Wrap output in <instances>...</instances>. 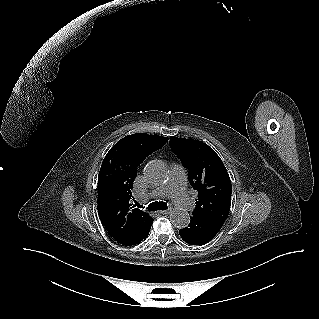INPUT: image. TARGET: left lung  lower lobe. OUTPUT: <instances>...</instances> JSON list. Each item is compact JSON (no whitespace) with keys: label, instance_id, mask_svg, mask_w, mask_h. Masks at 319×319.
Listing matches in <instances>:
<instances>
[{"label":"left lung lower lobe","instance_id":"left-lung-lower-lobe-1","mask_svg":"<svg viewBox=\"0 0 319 319\" xmlns=\"http://www.w3.org/2000/svg\"><path fill=\"white\" fill-rule=\"evenodd\" d=\"M190 219L188 227L179 230L181 238L190 245L206 244L225 222L224 219L209 216H192Z\"/></svg>","mask_w":319,"mask_h":319}]
</instances>
